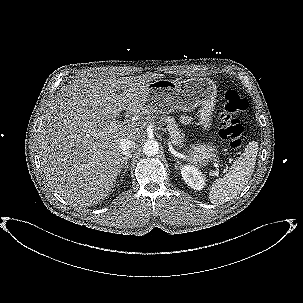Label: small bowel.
I'll return each mask as SVG.
<instances>
[{"mask_svg":"<svg viewBox=\"0 0 303 303\" xmlns=\"http://www.w3.org/2000/svg\"><path fill=\"white\" fill-rule=\"evenodd\" d=\"M182 121H183L184 123H188V122L190 121V118H189L188 116H183V117H182Z\"/></svg>","mask_w":303,"mask_h":303,"instance_id":"small-bowel-1","label":"small bowel"}]
</instances>
